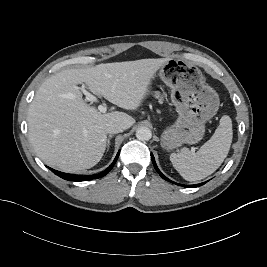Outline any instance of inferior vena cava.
<instances>
[{
  "label": "inferior vena cava",
  "instance_id": "inferior-vena-cava-1",
  "mask_svg": "<svg viewBox=\"0 0 267 267\" xmlns=\"http://www.w3.org/2000/svg\"><path fill=\"white\" fill-rule=\"evenodd\" d=\"M126 129V125L118 121H111L105 125V132L109 134H116L123 132Z\"/></svg>",
  "mask_w": 267,
  "mask_h": 267
}]
</instances>
